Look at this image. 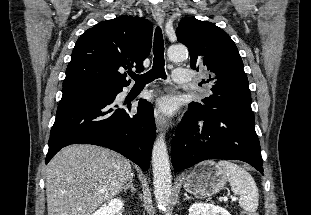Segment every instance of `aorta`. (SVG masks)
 Here are the masks:
<instances>
[{"mask_svg": "<svg viewBox=\"0 0 311 215\" xmlns=\"http://www.w3.org/2000/svg\"><path fill=\"white\" fill-rule=\"evenodd\" d=\"M167 54L171 61H182L186 59L188 50L183 45H173L168 49ZM152 169L156 202L159 209L165 210L171 196L172 177L163 134L159 135L154 142L152 150Z\"/></svg>", "mask_w": 311, "mask_h": 215, "instance_id": "762f6f07", "label": "aorta"}]
</instances>
